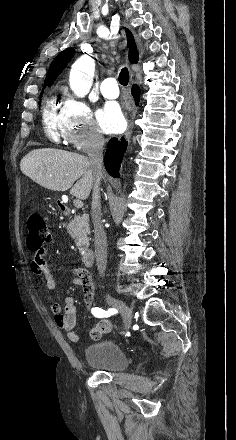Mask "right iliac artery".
Wrapping results in <instances>:
<instances>
[{
	"instance_id": "1",
	"label": "right iliac artery",
	"mask_w": 236,
	"mask_h": 440,
	"mask_svg": "<svg viewBox=\"0 0 236 440\" xmlns=\"http://www.w3.org/2000/svg\"><path fill=\"white\" fill-rule=\"evenodd\" d=\"M91 312L97 318L110 317L111 315L114 314L113 309H108V311H106V310H103L99 307L92 308Z\"/></svg>"
}]
</instances>
